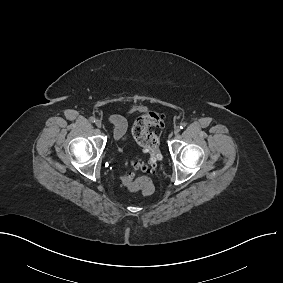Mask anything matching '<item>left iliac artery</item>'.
<instances>
[{"label":"left iliac artery","mask_w":283,"mask_h":283,"mask_svg":"<svg viewBox=\"0 0 283 283\" xmlns=\"http://www.w3.org/2000/svg\"><path fill=\"white\" fill-rule=\"evenodd\" d=\"M185 127H186V123L183 122L180 124V129H184Z\"/></svg>","instance_id":"obj_1"}]
</instances>
